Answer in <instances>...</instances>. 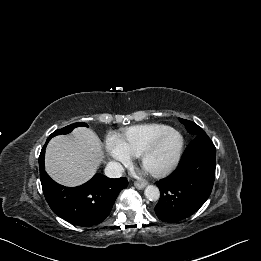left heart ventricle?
Segmentation results:
<instances>
[{
  "mask_svg": "<svg viewBox=\"0 0 261 261\" xmlns=\"http://www.w3.org/2000/svg\"><path fill=\"white\" fill-rule=\"evenodd\" d=\"M177 143L178 138L174 134L167 135L147 159L146 169L155 170L163 167L172 157Z\"/></svg>",
  "mask_w": 261,
  "mask_h": 261,
  "instance_id": "1",
  "label": "left heart ventricle"
}]
</instances>
